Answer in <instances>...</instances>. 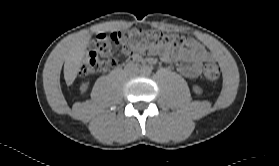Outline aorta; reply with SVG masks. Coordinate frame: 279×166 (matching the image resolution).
<instances>
[{
	"instance_id": "obj_1",
	"label": "aorta",
	"mask_w": 279,
	"mask_h": 166,
	"mask_svg": "<svg viewBox=\"0 0 279 166\" xmlns=\"http://www.w3.org/2000/svg\"><path fill=\"white\" fill-rule=\"evenodd\" d=\"M141 72L145 75H149L151 73V68L149 66H143Z\"/></svg>"
}]
</instances>
